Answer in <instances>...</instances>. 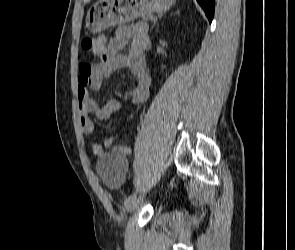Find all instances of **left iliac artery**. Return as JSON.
Segmentation results:
<instances>
[{
  "label": "left iliac artery",
  "instance_id": "left-iliac-artery-1",
  "mask_svg": "<svg viewBox=\"0 0 295 250\" xmlns=\"http://www.w3.org/2000/svg\"><path fill=\"white\" fill-rule=\"evenodd\" d=\"M134 199H136V194H131L130 196H128L124 202V205L127 206L128 204H130Z\"/></svg>",
  "mask_w": 295,
  "mask_h": 250
}]
</instances>
